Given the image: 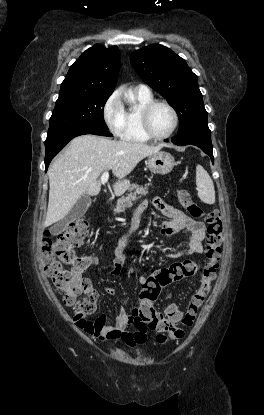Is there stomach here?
Segmentation results:
<instances>
[{"label":"stomach","mask_w":264,"mask_h":415,"mask_svg":"<svg viewBox=\"0 0 264 415\" xmlns=\"http://www.w3.org/2000/svg\"><path fill=\"white\" fill-rule=\"evenodd\" d=\"M149 170L154 174H168L172 171L175 160L174 157L165 151H159L150 155L147 159ZM135 186H132L134 188Z\"/></svg>","instance_id":"obj_1"}]
</instances>
